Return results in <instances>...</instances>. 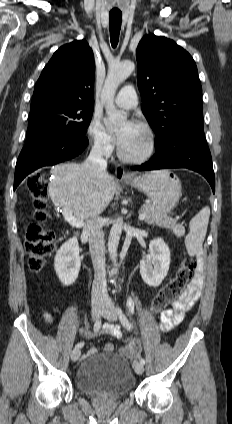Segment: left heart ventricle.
<instances>
[{"label":"left heart ventricle","instance_id":"left-heart-ventricle-1","mask_svg":"<svg viewBox=\"0 0 232 424\" xmlns=\"http://www.w3.org/2000/svg\"><path fill=\"white\" fill-rule=\"evenodd\" d=\"M123 127L120 126L119 130ZM148 147V137L143 129L135 126L126 142L121 146L123 151L128 155H139Z\"/></svg>","mask_w":232,"mask_h":424}]
</instances>
